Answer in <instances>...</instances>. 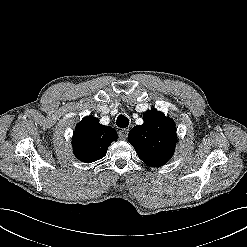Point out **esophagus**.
Instances as JSON below:
<instances>
[{"label": "esophagus", "instance_id": "esophagus-1", "mask_svg": "<svg viewBox=\"0 0 247 247\" xmlns=\"http://www.w3.org/2000/svg\"><path fill=\"white\" fill-rule=\"evenodd\" d=\"M129 129H121L118 133L121 140H126L128 136Z\"/></svg>", "mask_w": 247, "mask_h": 247}]
</instances>
